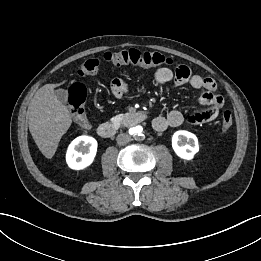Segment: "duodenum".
I'll return each instance as SVG.
<instances>
[{"label": "duodenum", "instance_id": "duodenum-1", "mask_svg": "<svg viewBox=\"0 0 261 261\" xmlns=\"http://www.w3.org/2000/svg\"><path fill=\"white\" fill-rule=\"evenodd\" d=\"M147 115L144 112L136 111L127 114L122 121V125L125 127H132L135 126L143 121H145ZM118 131V126L110 123L105 122L98 126L97 133L101 138H112Z\"/></svg>", "mask_w": 261, "mask_h": 261}]
</instances>
